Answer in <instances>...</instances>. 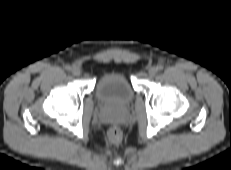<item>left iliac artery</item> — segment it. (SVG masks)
Masks as SVG:
<instances>
[{
	"instance_id": "1",
	"label": "left iliac artery",
	"mask_w": 231,
	"mask_h": 170,
	"mask_svg": "<svg viewBox=\"0 0 231 170\" xmlns=\"http://www.w3.org/2000/svg\"><path fill=\"white\" fill-rule=\"evenodd\" d=\"M163 68H164L163 65H158L157 66V70H159V71L163 70Z\"/></svg>"
}]
</instances>
